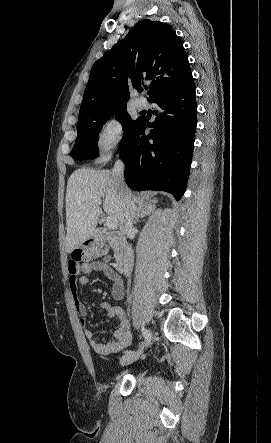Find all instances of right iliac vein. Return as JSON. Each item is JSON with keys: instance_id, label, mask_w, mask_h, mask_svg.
Returning a JSON list of instances; mask_svg holds the SVG:
<instances>
[{"instance_id": "obj_1", "label": "right iliac vein", "mask_w": 271, "mask_h": 443, "mask_svg": "<svg viewBox=\"0 0 271 443\" xmlns=\"http://www.w3.org/2000/svg\"><path fill=\"white\" fill-rule=\"evenodd\" d=\"M140 355H141V350L137 352L127 353L120 358V365L126 366L131 364L134 361L138 360Z\"/></svg>"}]
</instances>
